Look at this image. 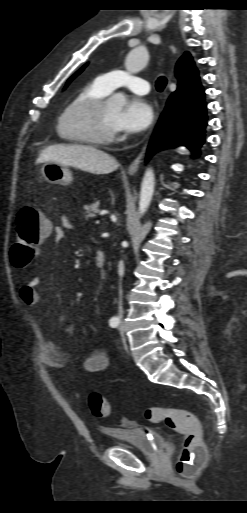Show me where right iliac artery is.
Masks as SVG:
<instances>
[{
  "label": "right iliac artery",
  "instance_id": "1",
  "mask_svg": "<svg viewBox=\"0 0 247 513\" xmlns=\"http://www.w3.org/2000/svg\"><path fill=\"white\" fill-rule=\"evenodd\" d=\"M109 325L112 328H116L119 325V319L118 318H112L109 322Z\"/></svg>",
  "mask_w": 247,
  "mask_h": 513
}]
</instances>
